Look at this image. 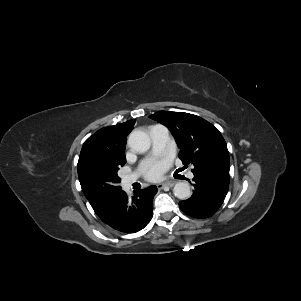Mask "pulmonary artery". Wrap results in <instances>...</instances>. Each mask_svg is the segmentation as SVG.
<instances>
[{
  "label": "pulmonary artery",
  "instance_id": "e3ab8cb5",
  "mask_svg": "<svg viewBox=\"0 0 301 301\" xmlns=\"http://www.w3.org/2000/svg\"><path fill=\"white\" fill-rule=\"evenodd\" d=\"M149 135L152 141V154L160 155L162 154L169 141V130L163 125H153L149 128ZM189 177H193L190 173ZM137 176L135 174L129 175L124 178V185L129 186L132 182L136 180Z\"/></svg>",
  "mask_w": 301,
  "mask_h": 301
}]
</instances>
